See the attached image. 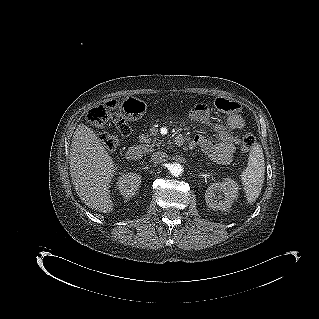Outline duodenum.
<instances>
[{
  "label": "duodenum",
  "mask_w": 319,
  "mask_h": 319,
  "mask_svg": "<svg viewBox=\"0 0 319 319\" xmlns=\"http://www.w3.org/2000/svg\"><path fill=\"white\" fill-rule=\"evenodd\" d=\"M184 140L185 139H184L183 135H177L175 138V142L178 145L183 144ZM126 157L128 159H131V160H136V159L140 158L141 157L140 148L138 146L130 147L126 153Z\"/></svg>",
  "instance_id": "410a0bca"
}]
</instances>
